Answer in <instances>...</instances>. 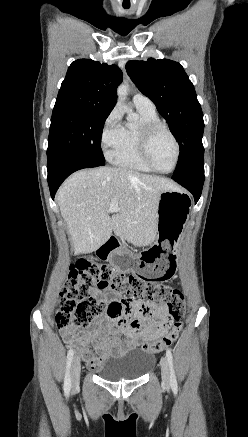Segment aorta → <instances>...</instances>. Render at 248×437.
<instances>
[{"label": "aorta", "mask_w": 248, "mask_h": 437, "mask_svg": "<svg viewBox=\"0 0 248 437\" xmlns=\"http://www.w3.org/2000/svg\"><path fill=\"white\" fill-rule=\"evenodd\" d=\"M128 93V87L125 84H121L117 89V96H118V105L121 106L122 102L125 101L126 96ZM137 119V115L133 113L132 111H127V120L128 121H134Z\"/></svg>", "instance_id": "obj_1"}]
</instances>
